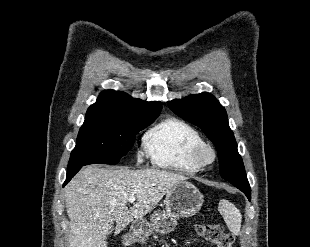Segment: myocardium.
<instances>
[{"label": "myocardium", "instance_id": "myocardium-1", "mask_svg": "<svg viewBox=\"0 0 310 247\" xmlns=\"http://www.w3.org/2000/svg\"><path fill=\"white\" fill-rule=\"evenodd\" d=\"M205 152L210 154L209 160H205L203 158V154ZM216 158H217V154H216L215 149L213 148L212 145L206 142H201L197 144L191 150V160L199 168L212 165L216 161Z\"/></svg>", "mask_w": 310, "mask_h": 247}]
</instances>
